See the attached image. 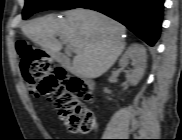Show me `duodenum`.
Returning <instances> with one entry per match:
<instances>
[{"label": "duodenum", "mask_w": 182, "mask_h": 140, "mask_svg": "<svg viewBox=\"0 0 182 140\" xmlns=\"http://www.w3.org/2000/svg\"><path fill=\"white\" fill-rule=\"evenodd\" d=\"M53 55H54V56L56 57V59H57L63 66H65L66 68H68V69H72V68H73L71 62L69 61V59H68L67 57H65V56H63V55H59V54H57V53H53ZM85 80H86V82H87V84H88V86H89L90 88H93V87H94V83H93L92 80H90V79H88V78H85Z\"/></svg>", "instance_id": "duodenum-1"}]
</instances>
